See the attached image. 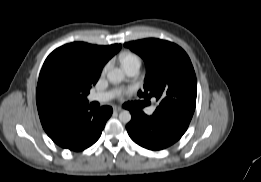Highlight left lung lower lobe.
I'll list each match as a JSON object with an SVG mask.
<instances>
[{"label":"left lung lower lobe","mask_w":261,"mask_h":182,"mask_svg":"<svg viewBox=\"0 0 261 182\" xmlns=\"http://www.w3.org/2000/svg\"><path fill=\"white\" fill-rule=\"evenodd\" d=\"M130 113L132 119L126 125L129 136L135 143L150 150H161L174 144L190 123L162 116H147L141 111Z\"/></svg>","instance_id":"1"}]
</instances>
